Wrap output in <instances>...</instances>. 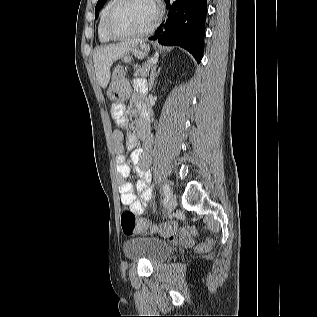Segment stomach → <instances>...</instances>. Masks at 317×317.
<instances>
[{"label":"stomach","instance_id":"0dacf381","mask_svg":"<svg viewBox=\"0 0 317 317\" xmlns=\"http://www.w3.org/2000/svg\"><path fill=\"white\" fill-rule=\"evenodd\" d=\"M149 51V45L146 43H138L134 45L130 51H128L124 56H123V61L125 63H115L114 68H126V70H131L132 69V64L130 63L132 60V57H136L138 59H143L146 57L147 53ZM143 61L139 60L138 64L142 65Z\"/></svg>","mask_w":317,"mask_h":317}]
</instances>
